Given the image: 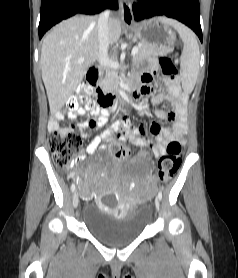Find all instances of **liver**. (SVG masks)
I'll return each mask as SVG.
<instances>
[{
    "label": "liver",
    "mask_w": 238,
    "mask_h": 278,
    "mask_svg": "<svg viewBox=\"0 0 238 278\" xmlns=\"http://www.w3.org/2000/svg\"><path fill=\"white\" fill-rule=\"evenodd\" d=\"M97 21L92 16H74L53 27L43 39L40 63L51 113L64 106L98 57ZM108 26L113 45L121 36V22L113 17ZM82 57L84 61L79 62Z\"/></svg>",
    "instance_id": "6515ba94"
}]
</instances>
